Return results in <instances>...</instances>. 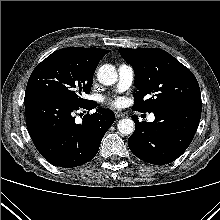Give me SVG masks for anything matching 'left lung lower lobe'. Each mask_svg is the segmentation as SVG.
Masks as SVG:
<instances>
[{
  "label": "left lung lower lobe",
  "mask_w": 220,
  "mask_h": 220,
  "mask_svg": "<svg viewBox=\"0 0 220 220\" xmlns=\"http://www.w3.org/2000/svg\"><path fill=\"white\" fill-rule=\"evenodd\" d=\"M152 123L135 121L128 146L139 159L163 165L176 160L190 145L201 117V100L164 105L153 112Z\"/></svg>",
  "instance_id": "left-lung-lower-lobe-1"
}]
</instances>
